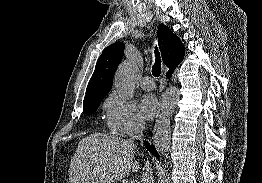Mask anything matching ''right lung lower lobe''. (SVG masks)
<instances>
[{"label": "right lung lower lobe", "mask_w": 262, "mask_h": 183, "mask_svg": "<svg viewBox=\"0 0 262 183\" xmlns=\"http://www.w3.org/2000/svg\"><path fill=\"white\" fill-rule=\"evenodd\" d=\"M172 73H173V70H172V71H168L167 74H166V76H167L168 78H170L171 75H172ZM144 144H145V147H146L150 152H152L155 156L159 157V155H158V153H157V151H156V149L154 148L153 145L151 146L148 142H145Z\"/></svg>", "instance_id": "right-lung-lower-lobe-1"}]
</instances>
